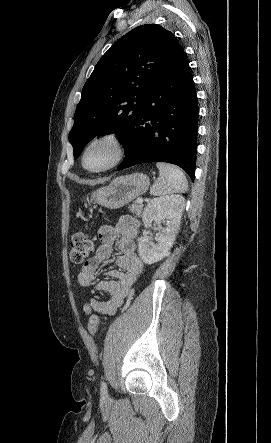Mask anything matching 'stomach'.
I'll return each mask as SVG.
<instances>
[{"label":"stomach","mask_w":271,"mask_h":443,"mask_svg":"<svg viewBox=\"0 0 271 443\" xmlns=\"http://www.w3.org/2000/svg\"><path fill=\"white\" fill-rule=\"evenodd\" d=\"M150 186V180L145 174H131V176H120L115 178L109 186L100 188L92 194L91 198L95 204L117 210L125 204L135 200L137 196L145 194Z\"/></svg>","instance_id":"1"}]
</instances>
